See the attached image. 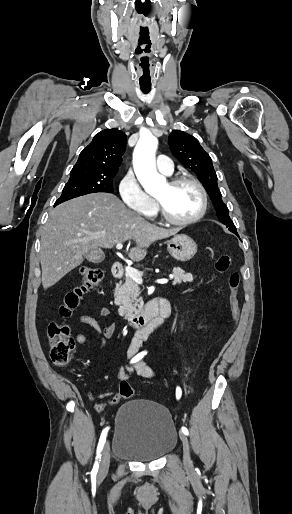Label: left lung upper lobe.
Returning a JSON list of instances; mask_svg holds the SVG:
<instances>
[{
  "label": "left lung upper lobe",
  "mask_w": 292,
  "mask_h": 514,
  "mask_svg": "<svg viewBox=\"0 0 292 514\" xmlns=\"http://www.w3.org/2000/svg\"><path fill=\"white\" fill-rule=\"evenodd\" d=\"M168 143L172 154L186 168L192 170L203 184L213 202L219 221L225 224L229 231L237 234L236 227L229 217V210L222 201V195L217 185V175L209 154L196 138L180 130L170 133Z\"/></svg>",
  "instance_id": "obj_1"
}]
</instances>
